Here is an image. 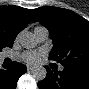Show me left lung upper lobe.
Masks as SVG:
<instances>
[{
  "mask_svg": "<svg viewBox=\"0 0 89 89\" xmlns=\"http://www.w3.org/2000/svg\"><path fill=\"white\" fill-rule=\"evenodd\" d=\"M31 11L51 34L54 47L50 60L64 67L89 68V22L86 19L57 7L44 6Z\"/></svg>",
  "mask_w": 89,
  "mask_h": 89,
  "instance_id": "1",
  "label": "left lung upper lobe"
}]
</instances>
